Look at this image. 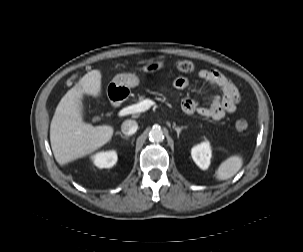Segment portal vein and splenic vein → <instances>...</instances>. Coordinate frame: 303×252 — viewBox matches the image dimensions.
<instances>
[{"label": "portal vein and splenic vein", "instance_id": "18ae733b", "mask_svg": "<svg viewBox=\"0 0 303 252\" xmlns=\"http://www.w3.org/2000/svg\"><path fill=\"white\" fill-rule=\"evenodd\" d=\"M154 104L155 103L151 99H145L137 104L123 108L118 112L117 115L119 117H122L130 114L145 112L148 109H150V107L153 106Z\"/></svg>", "mask_w": 303, "mask_h": 252}]
</instances>
